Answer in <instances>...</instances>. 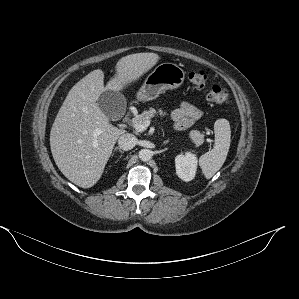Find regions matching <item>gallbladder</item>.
I'll list each match as a JSON object with an SVG mask.
<instances>
[{
	"label": "gallbladder",
	"mask_w": 299,
	"mask_h": 299,
	"mask_svg": "<svg viewBox=\"0 0 299 299\" xmlns=\"http://www.w3.org/2000/svg\"><path fill=\"white\" fill-rule=\"evenodd\" d=\"M126 104V99L121 92L110 89L103 91L97 100L100 110L112 120L123 117Z\"/></svg>",
	"instance_id": "1"
}]
</instances>
